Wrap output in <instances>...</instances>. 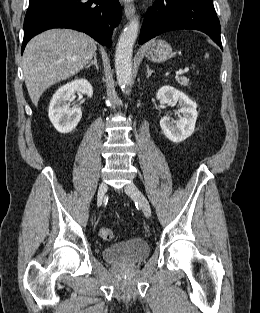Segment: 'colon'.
Masks as SVG:
<instances>
[{"mask_svg": "<svg viewBox=\"0 0 260 313\" xmlns=\"http://www.w3.org/2000/svg\"><path fill=\"white\" fill-rule=\"evenodd\" d=\"M98 234L105 241H112L114 239L112 229L104 225L98 227Z\"/></svg>", "mask_w": 260, "mask_h": 313, "instance_id": "5ec220e1", "label": "colon"}]
</instances>
